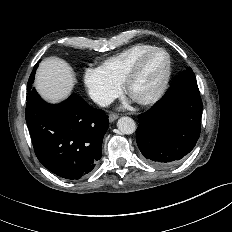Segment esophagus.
Listing matches in <instances>:
<instances>
[{
	"label": "esophagus",
	"mask_w": 232,
	"mask_h": 232,
	"mask_svg": "<svg viewBox=\"0 0 232 232\" xmlns=\"http://www.w3.org/2000/svg\"><path fill=\"white\" fill-rule=\"evenodd\" d=\"M118 115L117 114H114V113H112V114H110L109 115V121L110 122H113V121H115L116 119H118Z\"/></svg>",
	"instance_id": "1"
}]
</instances>
